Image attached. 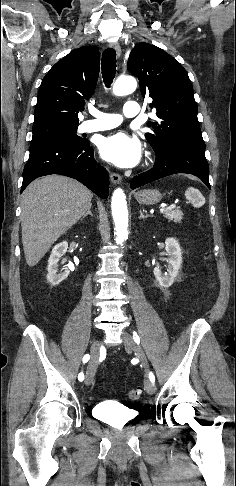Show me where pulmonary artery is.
<instances>
[{
    "instance_id": "pulmonary-artery-1",
    "label": "pulmonary artery",
    "mask_w": 236,
    "mask_h": 486,
    "mask_svg": "<svg viewBox=\"0 0 236 486\" xmlns=\"http://www.w3.org/2000/svg\"><path fill=\"white\" fill-rule=\"evenodd\" d=\"M89 113L94 117L90 120H84L80 126L79 131L82 133H90L102 130H108L119 126L123 118L120 114H108L101 112L95 108L89 109ZM140 113V106L136 101H127L123 107V115L131 118Z\"/></svg>"
}]
</instances>
